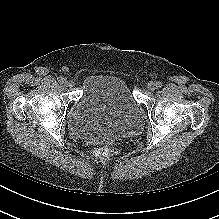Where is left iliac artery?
I'll use <instances>...</instances> for the list:
<instances>
[{
    "label": "left iliac artery",
    "mask_w": 219,
    "mask_h": 219,
    "mask_svg": "<svg viewBox=\"0 0 219 219\" xmlns=\"http://www.w3.org/2000/svg\"><path fill=\"white\" fill-rule=\"evenodd\" d=\"M162 86H163L162 82H160V81H159V82H156V87H157V88H161Z\"/></svg>",
    "instance_id": "obj_1"
}]
</instances>
